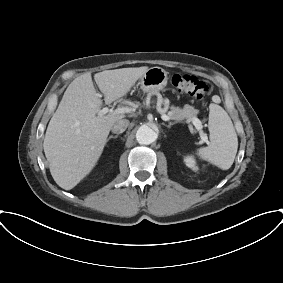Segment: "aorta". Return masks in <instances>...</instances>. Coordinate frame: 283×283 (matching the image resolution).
<instances>
[{
  "label": "aorta",
  "instance_id": "1",
  "mask_svg": "<svg viewBox=\"0 0 283 283\" xmlns=\"http://www.w3.org/2000/svg\"><path fill=\"white\" fill-rule=\"evenodd\" d=\"M157 139V133L147 125H142L136 132V140L141 145H149Z\"/></svg>",
  "mask_w": 283,
  "mask_h": 283
}]
</instances>
